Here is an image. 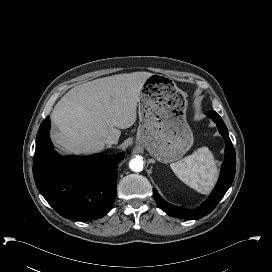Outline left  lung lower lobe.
Listing matches in <instances>:
<instances>
[{
	"label": "left lung lower lobe",
	"mask_w": 272,
	"mask_h": 272,
	"mask_svg": "<svg viewBox=\"0 0 272 272\" xmlns=\"http://www.w3.org/2000/svg\"><path fill=\"white\" fill-rule=\"evenodd\" d=\"M208 117H210L218 126L220 134L224 137L226 141L225 148V160L222 164V171L219 178V181L209 196V198L201 204V206L196 210H187L182 207L174 206L166 201H164L161 196L154 189V198L156 200L157 205L168 215L177 218L183 219H198L201 218L208 213H210L215 206L222 199L228 188L233 182L235 169H236V158H235V150L232 145V142L228 135V130L222 121L221 117L214 111H208L205 113Z\"/></svg>",
	"instance_id": "obj_1"
}]
</instances>
